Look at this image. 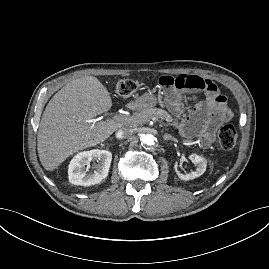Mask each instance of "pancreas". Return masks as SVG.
Listing matches in <instances>:
<instances>
[{"label":"pancreas","mask_w":269,"mask_h":269,"mask_svg":"<svg viewBox=\"0 0 269 269\" xmlns=\"http://www.w3.org/2000/svg\"><path fill=\"white\" fill-rule=\"evenodd\" d=\"M132 117L136 119L132 124H142L152 118L165 120L168 125H171L173 122L171 115L167 111L159 108L142 109Z\"/></svg>","instance_id":"1"}]
</instances>
